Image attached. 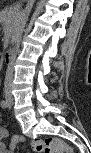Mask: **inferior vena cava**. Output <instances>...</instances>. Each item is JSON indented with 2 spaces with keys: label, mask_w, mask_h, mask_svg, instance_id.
I'll use <instances>...</instances> for the list:
<instances>
[{
  "label": "inferior vena cava",
  "mask_w": 91,
  "mask_h": 153,
  "mask_svg": "<svg viewBox=\"0 0 91 153\" xmlns=\"http://www.w3.org/2000/svg\"><path fill=\"white\" fill-rule=\"evenodd\" d=\"M34 1L35 0H28V4H27L25 10H23L21 13V16H20L21 27L18 28L17 35L15 36V39H16L15 43L16 44L13 45L14 46L13 51H12L13 53H19V50L21 47L20 41H21L23 28L26 24V21L28 19V16H29L30 11L32 9V6L34 4ZM11 56L12 57L10 58L11 60H9V63H8L9 67L6 72V77H5V82H4L5 90L7 91L9 97H11L10 90H11L12 81H13V70H14V65H15L14 63H15V60L17 59L16 57L18 55L12 54Z\"/></svg>",
  "instance_id": "602c4592"
}]
</instances>
